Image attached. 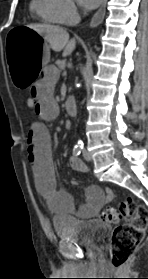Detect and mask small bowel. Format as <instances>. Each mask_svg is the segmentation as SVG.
<instances>
[{"instance_id":"obj_1","label":"small bowel","mask_w":148,"mask_h":279,"mask_svg":"<svg viewBox=\"0 0 148 279\" xmlns=\"http://www.w3.org/2000/svg\"><path fill=\"white\" fill-rule=\"evenodd\" d=\"M58 76L55 67H45L40 72L39 80L30 90V94L37 100L35 114L42 121H53L59 114V106L53 96ZM27 155L36 179V186L45 196L54 212L76 213L78 217L89 218L94 216L105 203L113 200L114 194L111 189L103 190L92 185L86 190L85 203L78 210H75L74 198L57 187L50 136L42 122H35L30 126L27 138ZM69 163L73 170L87 172L86 165L77 157H70Z\"/></svg>"}]
</instances>
